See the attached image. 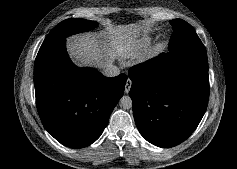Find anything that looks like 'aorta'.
Returning <instances> with one entry per match:
<instances>
[{"instance_id": "aorta-1", "label": "aorta", "mask_w": 237, "mask_h": 169, "mask_svg": "<svg viewBox=\"0 0 237 169\" xmlns=\"http://www.w3.org/2000/svg\"><path fill=\"white\" fill-rule=\"evenodd\" d=\"M119 106H120V108H122L124 110H128V109L132 108V99L126 95L121 97V99L119 100Z\"/></svg>"}]
</instances>
